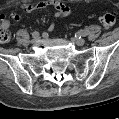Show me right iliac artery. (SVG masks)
Segmentation results:
<instances>
[{"label": "right iliac artery", "mask_w": 119, "mask_h": 119, "mask_svg": "<svg viewBox=\"0 0 119 119\" xmlns=\"http://www.w3.org/2000/svg\"><path fill=\"white\" fill-rule=\"evenodd\" d=\"M32 36H33V37H37V36H39V32L34 31V32L32 33Z\"/></svg>", "instance_id": "1"}]
</instances>
